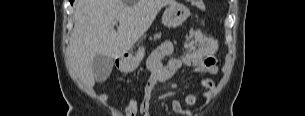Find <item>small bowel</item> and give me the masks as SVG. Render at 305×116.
I'll list each match as a JSON object with an SVG mask.
<instances>
[{
	"mask_svg": "<svg viewBox=\"0 0 305 116\" xmlns=\"http://www.w3.org/2000/svg\"><path fill=\"white\" fill-rule=\"evenodd\" d=\"M216 43L210 39H201L198 41L195 48L184 54L172 57L165 62V58L171 56L174 52L173 44L169 41L163 42L159 45L148 58V67L151 75L147 80L140 104V114L142 116H150L149 107L151 100V93L155 85L159 82H166L170 80L183 66L193 67L196 73L216 74L218 71L216 58ZM201 88L210 93L215 88V83L210 78H204L200 82ZM184 102L188 106H194L197 98L194 94H187L184 97ZM171 109L177 115L189 116L183 110L181 101L173 99L171 101Z\"/></svg>",
	"mask_w": 305,
	"mask_h": 116,
	"instance_id": "1",
	"label": "small bowel"
}]
</instances>
